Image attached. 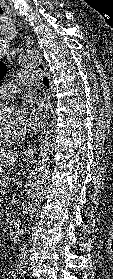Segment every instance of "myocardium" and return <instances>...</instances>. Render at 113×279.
<instances>
[{
  "mask_svg": "<svg viewBox=\"0 0 113 279\" xmlns=\"http://www.w3.org/2000/svg\"><path fill=\"white\" fill-rule=\"evenodd\" d=\"M17 108V105L12 101H3L0 103V141L1 142H14L24 137V133H10L2 125L4 115L10 110Z\"/></svg>",
  "mask_w": 113,
  "mask_h": 279,
  "instance_id": "myocardium-1",
  "label": "myocardium"
}]
</instances>
